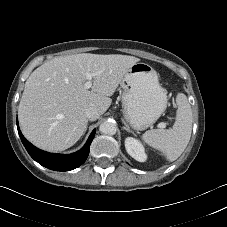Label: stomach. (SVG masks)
I'll list each match as a JSON object with an SVG mask.
<instances>
[{"instance_id": "0dacf381", "label": "stomach", "mask_w": 227, "mask_h": 227, "mask_svg": "<svg viewBox=\"0 0 227 227\" xmlns=\"http://www.w3.org/2000/svg\"><path fill=\"white\" fill-rule=\"evenodd\" d=\"M123 115L134 130L154 124L167 107V92L149 64H133L120 82Z\"/></svg>"}]
</instances>
